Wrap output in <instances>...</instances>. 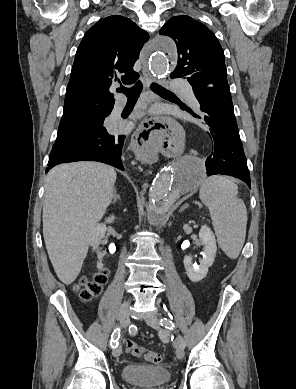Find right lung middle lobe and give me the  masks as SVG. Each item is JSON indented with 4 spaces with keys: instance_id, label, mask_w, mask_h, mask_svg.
I'll use <instances>...</instances> for the list:
<instances>
[{
    "instance_id": "obj_1",
    "label": "right lung middle lobe",
    "mask_w": 296,
    "mask_h": 389,
    "mask_svg": "<svg viewBox=\"0 0 296 389\" xmlns=\"http://www.w3.org/2000/svg\"><path fill=\"white\" fill-rule=\"evenodd\" d=\"M109 114H79L61 118L56 142L90 134L96 130L105 128V118Z\"/></svg>"
}]
</instances>
